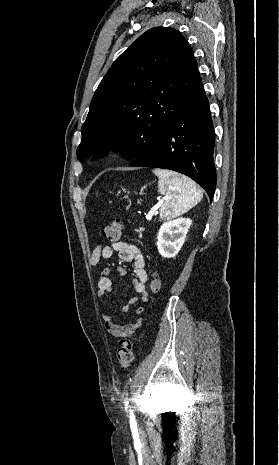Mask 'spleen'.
Instances as JSON below:
<instances>
[{"mask_svg":"<svg viewBox=\"0 0 279 465\" xmlns=\"http://www.w3.org/2000/svg\"><path fill=\"white\" fill-rule=\"evenodd\" d=\"M153 173L159 178L158 192L165 196L160 209L161 219L184 214L202 200V191L188 177L162 169H155Z\"/></svg>","mask_w":279,"mask_h":465,"instance_id":"3e777b00","label":"spleen"}]
</instances>
